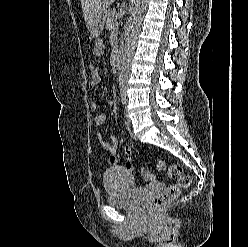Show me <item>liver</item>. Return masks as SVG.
Instances as JSON below:
<instances>
[{
    "label": "liver",
    "instance_id": "1",
    "mask_svg": "<svg viewBox=\"0 0 248 247\" xmlns=\"http://www.w3.org/2000/svg\"><path fill=\"white\" fill-rule=\"evenodd\" d=\"M115 0H80L86 26L92 24L95 18L107 11Z\"/></svg>",
    "mask_w": 248,
    "mask_h": 247
}]
</instances>
